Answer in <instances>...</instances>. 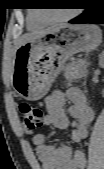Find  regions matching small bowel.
Returning <instances> with one entry per match:
<instances>
[{"label":"small bowel","instance_id":"obj_1","mask_svg":"<svg viewBox=\"0 0 104 169\" xmlns=\"http://www.w3.org/2000/svg\"><path fill=\"white\" fill-rule=\"evenodd\" d=\"M67 100L71 102L68 114L77 121L71 139L74 142H81L88 136V127L95 113L79 88L71 87L66 91L55 90L46 97V114L43 123L60 130L68 128L69 117L65 110ZM32 140L43 169H85L87 166V157L83 151H73L69 145L49 144L44 133L35 134Z\"/></svg>","mask_w":104,"mask_h":169}]
</instances>
